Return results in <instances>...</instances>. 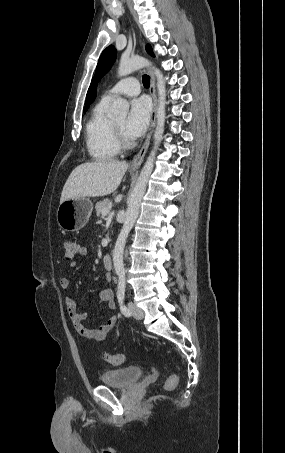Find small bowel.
I'll list each match as a JSON object with an SVG mask.
<instances>
[{"label":"small bowel","mask_w":285,"mask_h":453,"mask_svg":"<svg viewBox=\"0 0 285 453\" xmlns=\"http://www.w3.org/2000/svg\"><path fill=\"white\" fill-rule=\"evenodd\" d=\"M79 254L82 256L87 255V249L85 247H80ZM70 268H75L77 266L76 262L70 263ZM106 282L110 283L112 277L110 274L105 276ZM60 287L64 290L71 288V281L68 278L60 279ZM99 300L102 303H105L110 310L116 308L113 292L110 289H104L99 292ZM66 308L68 315L74 325L75 330L78 334L86 339H93L96 341H101L105 336L112 330L116 325L118 317L117 315H111L106 322L101 324L98 327H89L85 324L87 314L79 312L76 308L75 301L71 297H66L65 299Z\"/></svg>","instance_id":"obj_1"}]
</instances>
